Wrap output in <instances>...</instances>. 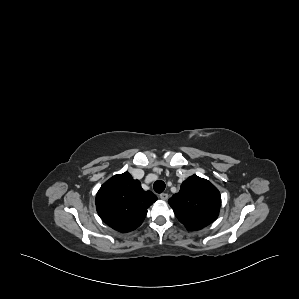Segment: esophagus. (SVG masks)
Returning <instances> with one entry per match:
<instances>
[{"label": "esophagus", "mask_w": 299, "mask_h": 299, "mask_svg": "<svg viewBox=\"0 0 299 299\" xmlns=\"http://www.w3.org/2000/svg\"><path fill=\"white\" fill-rule=\"evenodd\" d=\"M159 197H160V199H162V200H167V199H168V194H167V193H161V194L159 195Z\"/></svg>", "instance_id": "34e87169"}]
</instances>
